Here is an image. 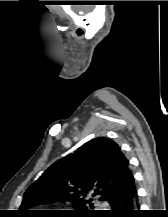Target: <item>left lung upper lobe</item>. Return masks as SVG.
I'll use <instances>...</instances> for the list:
<instances>
[{
    "mask_svg": "<svg viewBox=\"0 0 168 217\" xmlns=\"http://www.w3.org/2000/svg\"><path fill=\"white\" fill-rule=\"evenodd\" d=\"M129 161L119 146L107 138H96L52 164L42 176L26 190L20 206L22 212L40 204L70 201L78 217H90L94 213L92 199L86 196L101 194L106 200L121 189L132 177Z\"/></svg>",
    "mask_w": 168,
    "mask_h": 217,
    "instance_id": "obj_1",
    "label": "left lung upper lobe"
}]
</instances>
